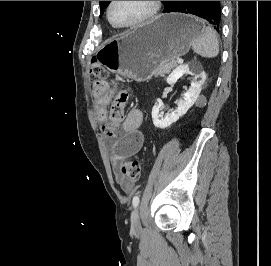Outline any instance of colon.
Wrapping results in <instances>:
<instances>
[{"mask_svg":"<svg viewBox=\"0 0 271 266\" xmlns=\"http://www.w3.org/2000/svg\"><path fill=\"white\" fill-rule=\"evenodd\" d=\"M90 80L96 87L108 88L107 83L108 73L107 71L98 64H91L89 70ZM121 99H127L129 97L128 91L120 89L117 93ZM114 162H118L117 156H114ZM118 168L120 174L131 181H137L140 178L141 166L137 160H122L118 162Z\"/></svg>","mask_w":271,"mask_h":266,"instance_id":"1","label":"colon"}]
</instances>
